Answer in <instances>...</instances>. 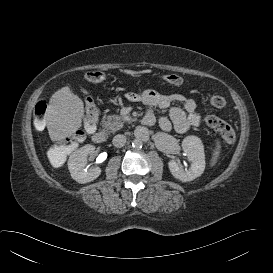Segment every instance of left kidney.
I'll return each instance as SVG.
<instances>
[{"label":"left kidney","mask_w":273,"mask_h":273,"mask_svg":"<svg viewBox=\"0 0 273 273\" xmlns=\"http://www.w3.org/2000/svg\"><path fill=\"white\" fill-rule=\"evenodd\" d=\"M182 149L185 152L191 166L184 170L175 160L168 162V167L176 179L182 182H189L201 176L205 169V153L202 141L197 136H187L182 141Z\"/></svg>","instance_id":"1"}]
</instances>
